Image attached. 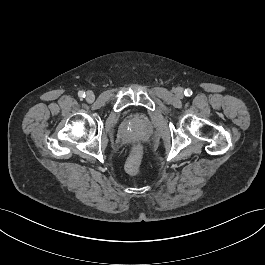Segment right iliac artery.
<instances>
[{
    "label": "right iliac artery",
    "mask_w": 265,
    "mask_h": 265,
    "mask_svg": "<svg viewBox=\"0 0 265 265\" xmlns=\"http://www.w3.org/2000/svg\"><path fill=\"white\" fill-rule=\"evenodd\" d=\"M78 96L82 99V98H84L85 97V92H83V91H79L78 92Z\"/></svg>",
    "instance_id": "1"
}]
</instances>
